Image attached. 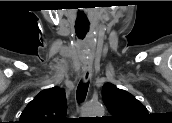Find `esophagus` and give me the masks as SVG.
Masks as SVG:
<instances>
[{"label":"esophagus","instance_id":"obj_1","mask_svg":"<svg viewBox=\"0 0 172 123\" xmlns=\"http://www.w3.org/2000/svg\"><path fill=\"white\" fill-rule=\"evenodd\" d=\"M92 77V68L89 67H84L83 68V81L87 82L91 79Z\"/></svg>","mask_w":172,"mask_h":123}]
</instances>
